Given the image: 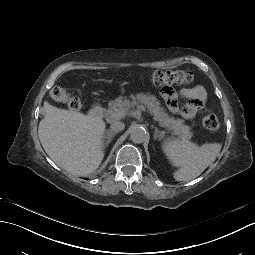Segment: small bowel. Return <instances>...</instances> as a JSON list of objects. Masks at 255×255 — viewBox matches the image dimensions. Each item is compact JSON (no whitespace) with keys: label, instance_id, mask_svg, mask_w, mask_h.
<instances>
[{"label":"small bowel","instance_id":"small-bowel-1","mask_svg":"<svg viewBox=\"0 0 255 255\" xmlns=\"http://www.w3.org/2000/svg\"><path fill=\"white\" fill-rule=\"evenodd\" d=\"M163 93L165 95H170L171 91L166 89L163 91ZM180 93L183 97L189 100L186 106L180 112L183 117L191 119L203 108L207 99L206 90L202 86H196L191 88H183ZM173 110L177 111V109Z\"/></svg>","mask_w":255,"mask_h":255}]
</instances>
